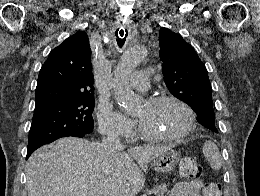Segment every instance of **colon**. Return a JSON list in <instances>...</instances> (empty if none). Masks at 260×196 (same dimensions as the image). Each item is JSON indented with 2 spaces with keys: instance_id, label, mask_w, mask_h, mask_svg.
<instances>
[{
  "instance_id": "colon-1",
  "label": "colon",
  "mask_w": 260,
  "mask_h": 196,
  "mask_svg": "<svg viewBox=\"0 0 260 196\" xmlns=\"http://www.w3.org/2000/svg\"><path fill=\"white\" fill-rule=\"evenodd\" d=\"M203 170L201 165L191 159H183L180 163V179L182 182L202 180Z\"/></svg>"
}]
</instances>
